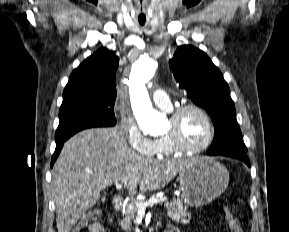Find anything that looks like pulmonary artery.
<instances>
[{
	"label": "pulmonary artery",
	"instance_id": "pulmonary-artery-1",
	"mask_svg": "<svg viewBox=\"0 0 289 232\" xmlns=\"http://www.w3.org/2000/svg\"><path fill=\"white\" fill-rule=\"evenodd\" d=\"M154 104L162 109L170 110L172 105L169 96L163 90H155L152 94Z\"/></svg>",
	"mask_w": 289,
	"mask_h": 232
}]
</instances>
